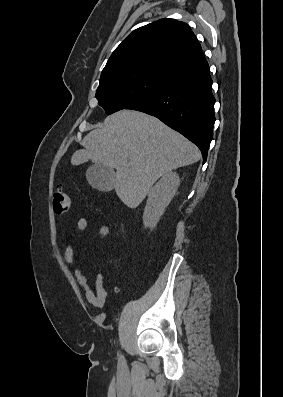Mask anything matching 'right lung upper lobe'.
Wrapping results in <instances>:
<instances>
[{"instance_id":"obj_1","label":"right lung upper lobe","mask_w":283,"mask_h":397,"mask_svg":"<svg viewBox=\"0 0 283 397\" xmlns=\"http://www.w3.org/2000/svg\"><path fill=\"white\" fill-rule=\"evenodd\" d=\"M206 66L208 62L190 26L175 19H161L125 38L107 61L100 80L146 74L170 81Z\"/></svg>"}]
</instances>
